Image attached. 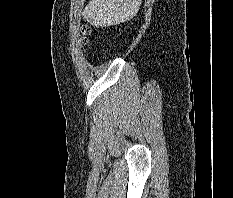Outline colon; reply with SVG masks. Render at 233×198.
Here are the masks:
<instances>
[{"label": "colon", "instance_id": "colon-1", "mask_svg": "<svg viewBox=\"0 0 233 198\" xmlns=\"http://www.w3.org/2000/svg\"><path fill=\"white\" fill-rule=\"evenodd\" d=\"M81 32L83 34L84 39H86V36L89 34L90 29L87 25H83L81 28Z\"/></svg>", "mask_w": 233, "mask_h": 198}]
</instances>
